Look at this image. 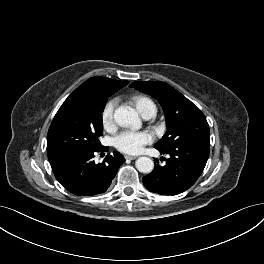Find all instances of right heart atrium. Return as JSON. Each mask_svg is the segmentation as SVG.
<instances>
[{"label": "right heart atrium", "mask_w": 264, "mask_h": 264, "mask_svg": "<svg viewBox=\"0 0 264 264\" xmlns=\"http://www.w3.org/2000/svg\"><path fill=\"white\" fill-rule=\"evenodd\" d=\"M116 107V100L111 99L105 103L101 111V122L105 129L112 130L115 125L114 110Z\"/></svg>", "instance_id": "obj_1"}]
</instances>
